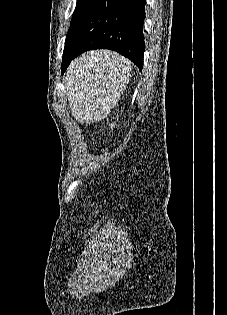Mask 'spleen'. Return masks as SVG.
<instances>
[{
  "label": "spleen",
  "mask_w": 227,
  "mask_h": 315,
  "mask_svg": "<svg viewBox=\"0 0 227 315\" xmlns=\"http://www.w3.org/2000/svg\"><path fill=\"white\" fill-rule=\"evenodd\" d=\"M131 63L116 53L91 52L74 61L66 76V95L74 117L85 123L105 118L131 76Z\"/></svg>",
  "instance_id": "3e777b00"
}]
</instances>
